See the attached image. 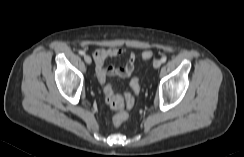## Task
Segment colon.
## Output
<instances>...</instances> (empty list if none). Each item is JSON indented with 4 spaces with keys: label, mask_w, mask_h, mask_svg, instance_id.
I'll use <instances>...</instances> for the list:
<instances>
[{
    "label": "colon",
    "mask_w": 244,
    "mask_h": 157,
    "mask_svg": "<svg viewBox=\"0 0 244 157\" xmlns=\"http://www.w3.org/2000/svg\"><path fill=\"white\" fill-rule=\"evenodd\" d=\"M152 56L153 52L151 50H146L141 55L143 60H149ZM131 87L135 94L139 93L140 84L137 78L131 80ZM104 94L108 106L116 111L111 123L113 126L118 127L127 120L128 114L126 109H129L134 105V97L131 94H124V96L116 94L110 84L105 86Z\"/></svg>",
    "instance_id": "obj_1"
}]
</instances>
